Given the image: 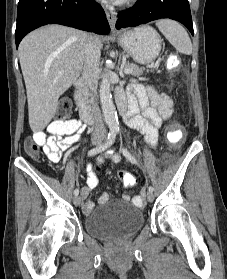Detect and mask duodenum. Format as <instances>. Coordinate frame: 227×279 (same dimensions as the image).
<instances>
[{
	"instance_id": "obj_1",
	"label": "duodenum",
	"mask_w": 227,
	"mask_h": 279,
	"mask_svg": "<svg viewBox=\"0 0 227 279\" xmlns=\"http://www.w3.org/2000/svg\"><path fill=\"white\" fill-rule=\"evenodd\" d=\"M84 88L83 82H75L73 85V96L79 107L82 120L87 124H93L95 122V117L92 109H90L85 103ZM118 109L119 112L124 115L127 112L126 103L118 101Z\"/></svg>"
}]
</instances>
